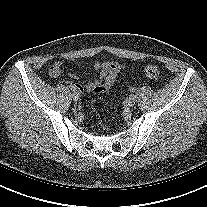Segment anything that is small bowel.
Returning <instances> with one entry per match:
<instances>
[{"label":"small bowel","instance_id":"1","mask_svg":"<svg viewBox=\"0 0 207 207\" xmlns=\"http://www.w3.org/2000/svg\"><path fill=\"white\" fill-rule=\"evenodd\" d=\"M93 69L99 71L98 79L93 82L87 84L85 89L88 92L94 94H103L107 93L113 87L116 78L120 71L124 68V66L116 61H105V62H95L92 65ZM62 72V64L60 62H56L53 66H51L49 70V74L52 77L60 76ZM69 77L73 80H77L78 76L75 73H69ZM74 87L77 91H83V86L77 82H69V87Z\"/></svg>","mask_w":207,"mask_h":207}]
</instances>
